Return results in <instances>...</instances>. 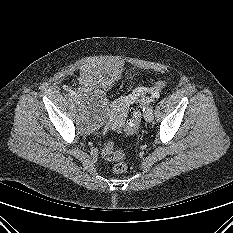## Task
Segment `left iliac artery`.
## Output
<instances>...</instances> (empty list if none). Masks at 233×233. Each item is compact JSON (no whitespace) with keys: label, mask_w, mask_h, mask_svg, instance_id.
Returning <instances> with one entry per match:
<instances>
[{"label":"left iliac artery","mask_w":233,"mask_h":233,"mask_svg":"<svg viewBox=\"0 0 233 233\" xmlns=\"http://www.w3.org/2000/svg\"><path fill=\"white\" fill-rule=\"evenodd\" d=\"M147 110L153 111V107L151 106Z\"/></svg>","instance_id":"44dca946"}]
</instances>
